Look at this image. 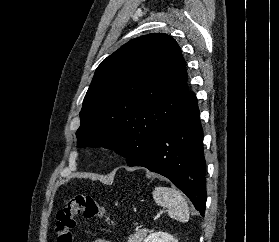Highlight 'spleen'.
<instances>
[{
	"label": "spleen",
	"mask_w": 279,
	"mask_h": 242,
	"mask_svg": "<svg viewBox=\"0 0 279 242\" xmlns=\"http://www.w3.org/2000/svg\"><path fill=\"white\" fill-rule=\"evenodd\" d=\"M154 201L167 208L168 215L181 222L189 220V207L181 192L175 188L157 186L152 192Z\"/></svg>",
	"instance_id": "obj_1"
}]
</instances>
